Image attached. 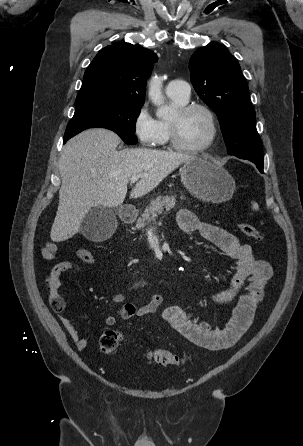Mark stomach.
Listing matches in <instances>:
<instances>
[{
	"label": "stomach",
	"mask_w": 303,
	"mask_h": 446,
	"mask_svg": "<svg viewBox=\"0 0 303 446\" xmlns=\"http://www.w3.org/2000/svg\"><path fill=\"white\" fill-rule=\"evenodd\" d=\"M180 173L186 189L205 202H226L235 191V181L228 171L203 158L186 161Z\"/></svg>",
	"instance_id": "0dacf381"
}]
</instances>
